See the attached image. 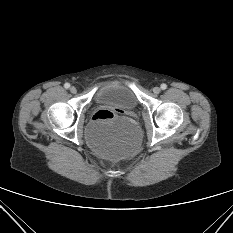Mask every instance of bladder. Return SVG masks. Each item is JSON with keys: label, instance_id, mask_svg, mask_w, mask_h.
Here are the masks:
<instances>
[{"label": "bladder", "instance_id": "bladder-1", "mask_svg": "<svg viewBox=\"0 0 233 233\" xmlns=\"http://www.w3.org/2000/svg\"><path fill=\"white\" fill-rule=\"evenodd\" d=\"M95 101L124 110L135 109L139 100L133 87L125 81H110L97 91ZM86 139L91 150L98 156L118 160L136 153L141 139L138 125L129 119L101 128H89Z\"/></svg>", "mask_w": 233, "mask_h": 233}]
</instances>
